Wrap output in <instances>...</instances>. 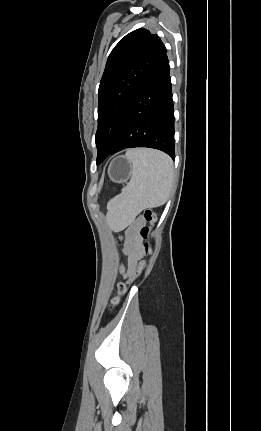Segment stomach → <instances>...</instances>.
<instances>
[{"label":"stomach","mask_w":261,"mask_h":431,"mask_svg":"<svg viewBox=\"0 0 261 431\" xmlns=\"http://www.w3.org/2000/svg\"><path fill=\"white\" fill-rule=\"evenodd\" d=\"M108 175L115 183L127 182L132 175V165L125 157H116L109 165Z\"/></svg>","instance_id":"0dacf381"}]
</instances>
